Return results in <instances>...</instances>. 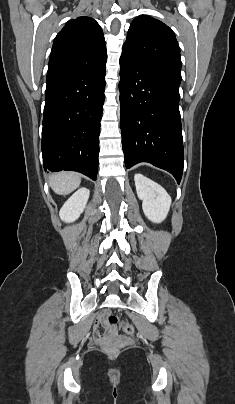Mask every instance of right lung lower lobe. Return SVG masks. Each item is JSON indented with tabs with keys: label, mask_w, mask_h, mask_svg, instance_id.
Here are the masks:
<instances>
[{
	"label": "right lung lower lobe",
	"mask_w": 235,
	"mask_h": 404,
	"mask_svg": "<svg viewBox=\"0 0 235 404\" xmlns=\"http://www.w3.org/2000/svg\"><path fill=\"white\" fill-rule=\"evenodd\" d=\"M106 61L47 74L42 129L45 171H78L96 180Z\"/></svg>",
	"instance_id": "right-lung-lower-lobe-1"
}]
</instances>
